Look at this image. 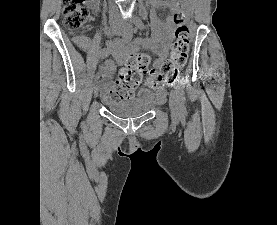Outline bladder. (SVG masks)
<instances>
[{
  "label": "bladder",
  "instance_id": "obj_1",
  "mask_svg": "<svg viewBox=\"0 0 277 225\" xmlns=\"http://www.w3.org/2000/svg\"><path fill=\"white\" fill-rule=\"evenodd\" d=\"M158 104L159 101L155 98L152 91L143 90L133 99L107 103L106 108L116 116L133 118L150 112Z\"/></svg>",
  "mask_w": 277,
  "mask_h": 225
}]
</instances>
